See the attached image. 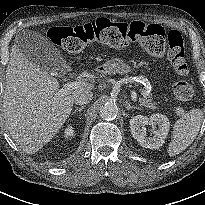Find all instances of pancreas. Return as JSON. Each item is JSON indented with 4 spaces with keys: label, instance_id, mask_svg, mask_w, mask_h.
Returning <instances> with one entry per match:
<instances>
[{
    "label": "pancreas",
    "instance_id": "cf45deb5",
    "mask_svg": "<svg viewBox=\"0 0 205 205\" xmlns=\"http://www.w3.org/2000/svg\"><path fill=\"white\" fill-rule=\"evenodd\" d=\"M108 63V62H107ZM106 63V64H107ZM105 64V65H106ZM104 65V66H105ZM128 81H133L132 77L127 78ZM140 105L144 106L146 108L149 109H158V107L156 106V103L153 102V99L151 97V94L149 92H147V90H142V96L140 97Z\"/></svg>",
    "mask_w": 205,
    "mask_h": 205
}]
</instances>
